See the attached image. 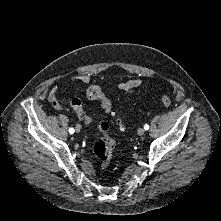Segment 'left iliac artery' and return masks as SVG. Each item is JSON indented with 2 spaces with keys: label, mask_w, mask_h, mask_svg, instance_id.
Masks as SVG:
<instances>
[{
  "label": "left iliac artery",
  "mask_w": 221,
  "mask_h": 221,
  "mask_svg": "<svg viewBox=\"0 0 221 221\" xmlns=\"http://www.w3.org/2000/svg\"><path fill=\"white\" fill-rule=\"evenodd\" d=\"M144 129H145V130H148V129H149V125L145 124V125H144Z\"/></svg>",
  "instance_id": "1"
}]
</instances>
